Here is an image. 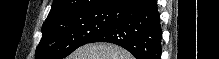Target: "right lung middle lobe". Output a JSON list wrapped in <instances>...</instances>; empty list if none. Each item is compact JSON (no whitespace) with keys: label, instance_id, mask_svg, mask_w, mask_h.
Masks as SVG:
<instances>
[{"label":"right lung middle lobe","instance_id":"dd1d6c3e","mask_svg":"<svg viewBox=\"0 0 219 59\" xmlns=\"http://www.w3.org/2000/svg\"><path fill=\"white\" fill-rule=\"evenodd\" d=\"M118 20L114 9L62 16L44 22L35 59H63L78 47L90 43Z\"/></svg>","mask_w":219,"mask_h":59}]
</instances>
